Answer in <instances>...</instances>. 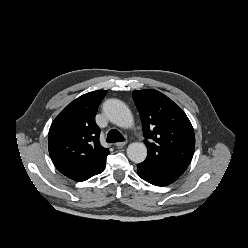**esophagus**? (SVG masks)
<instances>
[{
    "label": "esophagus",
    "mask_w": 248,
    "mask_h": 248,
    "mask_svg": "<svg viewBox=\"0 0 248 248\" xmlns=\"http://www.w3.org/2000/svg\"><path fill=\"white\" fill-rule=\"evenodd\" d=\"M126 144H127L126 141H124V142H117V143H115V146L117 148H123Z\"/></svg>",
    "instance_id": "34e87169"
}]
</instances>
